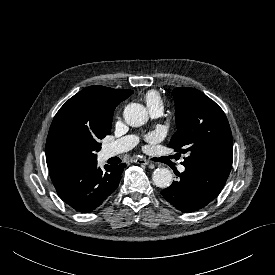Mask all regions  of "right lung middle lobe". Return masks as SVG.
<instances>
[{
  "label": "right lung middle lobe",
  "instance_id": "1",
  "mask_svg": "<svg viewBox=\"0 0 275 275\" xmlns=\"http://www.w3.org/2000/svg\"><path fill=\"white\" fill-rule=\"evenodd\" d=\"M104 136H84L73 133L61 135L55 142L53 155L61 166H80L96 161Z\"/></svg>",
  "mask_w": 275,
  "mask_h": 275
}]
</instances>
